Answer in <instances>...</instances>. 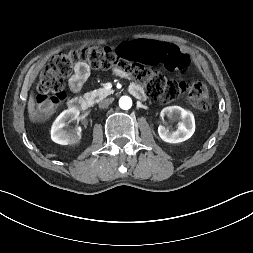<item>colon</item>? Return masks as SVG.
Returning <instances> with one entry per match:
<instances>
[{"mask_svg":"<svg viewBox=\"0 0 253 253\" xmlns=\"http://www.w3.org/2000/svg\"><path fill=\"white\" fill-rule=\"evenodd\" d=\"M79 62L93 68L118 67L132 75L151 97L164 103L185 95L188 104L197 111L205 112L211 107L210 94L204 83L169 79L160 72L139 66L150 65L186 75L192 69V60L183 48L169 41L125 40L118 48L84 46L53 56L40 76L36 98L38 120L49 117L65 98L64 80Z\"/></svg>","mask_w":253,"mask_h":253,"instance_id":"obj_1","label":"colon"}]
</instances>
